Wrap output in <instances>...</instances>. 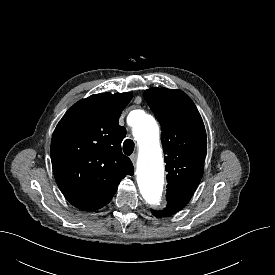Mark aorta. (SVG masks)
Returning a JSON list of instances; mask_svg holds the SVG:
<instances>
[{
	"mask_svg": "<svg viewBox=\"0 0 275 275\" xmlns=\"http://www.w3.org/2000/svg\"><path fill=\"white\" fill-rule=\"evenodd\" d=\"M140 149L138 185L146 203L153 209L164 207L162 197L164 164L159 147V128L150 115L139 112L134 131Z\"/></svg>",
	"mask_w": 275,
	"mask_h": 275,
	"instance_id": "762f6f07",
	"label": "aorta"
}]
</instances>
